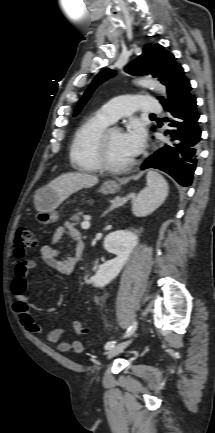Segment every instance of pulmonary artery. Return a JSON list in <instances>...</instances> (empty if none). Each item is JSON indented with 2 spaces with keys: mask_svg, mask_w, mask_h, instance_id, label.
<instances>
[{
  "mask_svg": "<svg viewBox=\"0 0 215 433\" xmlns=\"http://www.w3.org/2000/svg\"><path fill=\"white\" fill-rule=\"evenodd\" d=\"M163 108L158 101L149 95L133 94L119 96L104 104L99 112L111 123L123 116L136 111L155 114L162 112Z\"/></svg>",
  "mask_w": 215,
  "mask_h": 433,
  "instance_id": "e3ab8cb5",
  "label": "pulmonary artery"
}]
</instances>
